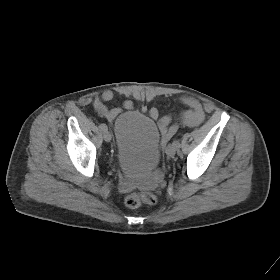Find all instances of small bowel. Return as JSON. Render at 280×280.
Returning <instances> with one entry per match:
<instances>
[{"instance_id":"small-bowel-1","label":"small bowel","mask_w":280,"mask_h":280,"mask_svg":"<svg viewBox=\"0 0 280 280\" xmlns=\"http://www.w3.org/2000/svg\"><path fill=\"white\" fill-rule=\"evenodd\" d=\"M113 97V91L106 90L100 96L96 97L93 102L96 113L109 121H112L122 110L121 108H111L107 105ZM180 101L187 106V109L181 113L178 117V121L187 127H196L200 125L205 119V112L199 101L188 96L181 97ZM122 108L125 110L132 109L133 102L130 100L124 101ZM149 115L157 120L158 127L162 134V144L165 145L177 131V123L170 115L161 117L157 108H151L149 110Z\"/></svg>"}]
</instances>
